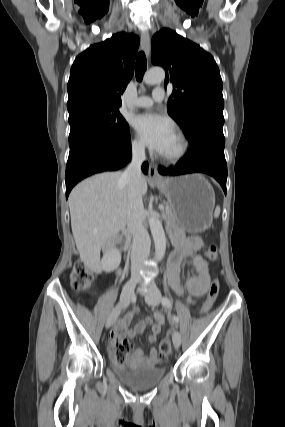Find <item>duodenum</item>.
I'll use <instances>...</instances> for the list:
<instances>
[{
	"instance_id": "obj_1",
	"label": "duodenum",
	"mask_w": 285,
	"mask_h": 427,
	"mask_svg": "<svg viewBox=\"0 0 285 427\" xmlns=\"http://www.w3.org/2000/svg\"><path fill=\"white\" fill-rule=\"evenodd\" d=\"M128 240V236L124 235L123 237L120 238V242L124 243Z\"/></svg>"
}]
</instances>
